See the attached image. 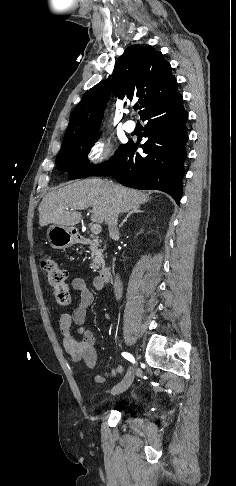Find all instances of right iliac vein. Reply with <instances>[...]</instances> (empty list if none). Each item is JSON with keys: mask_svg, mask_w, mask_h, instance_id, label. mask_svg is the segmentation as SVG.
Masks as SVG:
<instances>
[{"mask_svg": "<svg viewBox=\"0 0 236 486\" xmlns=\"http://www.w3.org/2000/svg\"><path fill=\"white\" fill-rule=\"evenodd\" d=\"M135 372H136V369L130 368L128 370L127 374L125 375L124 379L120 383H118L116 386L113 387V389L111 390V393L116 395V394H120V393H123L124 391H126L130 387V385L132 384Z\"/></svg>", "mask_w": 236, "mask_h": 486, "instance_id": "right-iliac-vein-1", "label": "right iliac vein"}]
</instances>
